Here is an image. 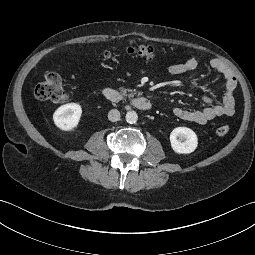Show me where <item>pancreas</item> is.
Returning <instances> with one entry per match:
<instances>
[{"label": "pancreas", "instance_id": "1", "mask_svg": "<svg viewBox=\"0 0 255 255\" xmlns=\"http://www.w3.org/2000/svg\"><path fill=\"white\" fill-rule=\"evenodd\" d=\"M120 91L124 97H128V98H131V97H133V94H136L135 90L125 89L124 87H121ZM139 95H140V93H139Z\"/></svg>", "mask_w": 255, "mask_h": 255}]
</instances>
